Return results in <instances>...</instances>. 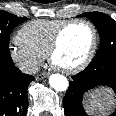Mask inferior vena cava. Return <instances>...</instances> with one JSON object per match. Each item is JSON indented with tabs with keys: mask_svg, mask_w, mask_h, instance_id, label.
<instances>
[{
	"mask_svg": "<svg viewBox=\"0 0 116 116\" xmlns=\"http://www.w3.org/2000/svg\"><path fill=\"white\" fill-rule=\"evenodd\" d=\"M22 72L26 74H36L39 70L38 66L35 63H26L20 66Z\"/></svg>",
	"mask_w": 116,
	"mask_h": 116,
	"instance_id": "obj_1",
	"label": "inferior vena cava"
}]
</instances>
